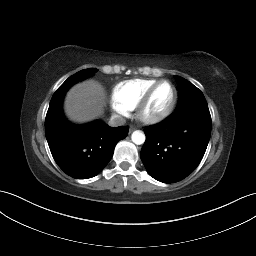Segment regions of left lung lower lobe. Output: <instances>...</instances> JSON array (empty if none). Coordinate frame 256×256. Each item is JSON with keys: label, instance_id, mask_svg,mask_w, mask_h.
I'll list each match as a JSON object with an SVG mask.
<instances>
[{"label": "left lung lower lobe", "instance_id": "obj_1", "mask_svg": "<svg viewBox=\"0 0 256 256\" xmlns=\"http://www.w3.org/2000/svg\"><path fill=\"white\" fill-rule=\"evenodd\" d=\"M144 132L140 156L148 173L163 183L178 182L196 169L205 154L211 135L210 112L208 107H186Z\"/></svg>", "mask_w": 256, "mask_h": 256}]
</instances>
